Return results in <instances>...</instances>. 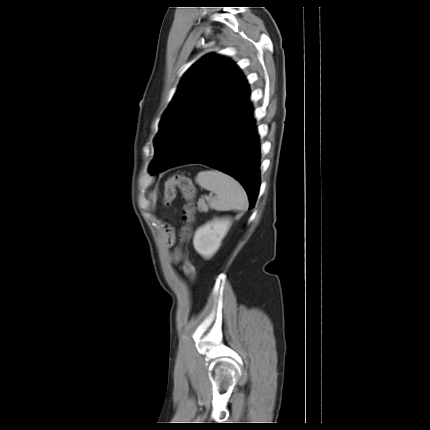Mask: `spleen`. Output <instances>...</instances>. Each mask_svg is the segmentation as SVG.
I'll list each match as a JSON object with an SVG mask.
<instances>
[{"label":"spleen","instance_id":"obj_1","mask_svg":"<svg viewBox=\"0 0 430 430\" xmlns=\"http://www.w3.org/2000/svg\"><path fill=\"white\" fill-rule=\"evenodd\" d=\"M195 181L201 187L216 194V198L211 201V207L215 210H247L246 192L240 183L230 175L216 170L200 171Z\"/></svg>","mask_w":430,"mask_h":430}]
</instances>
